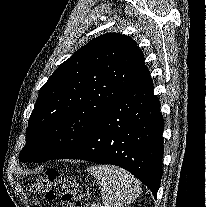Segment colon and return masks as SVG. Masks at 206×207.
Segmentation results:
<instances>
[{
    "label": "colon",
    "mask_w": 206,
    "mask_h": 207,
    "mask_svg": "<svg viewBox=\"0 0 206 207\" xmlns=\"http://www.w3.org/2000/svg\"><path fill=\"white\" fill-rule=\"evenodd\" d=\"M31 191L49 200L58 199L61 207H82V193L77 189L75 181L54 169L37 177L31 185Z\"/></svg>",
    "instance_id": "obj_1"
}]
</instances>
